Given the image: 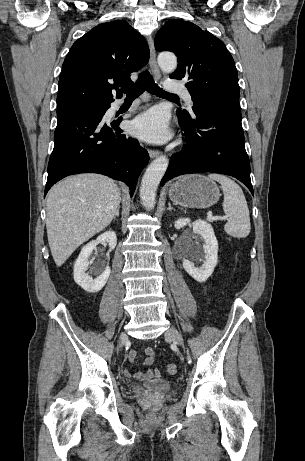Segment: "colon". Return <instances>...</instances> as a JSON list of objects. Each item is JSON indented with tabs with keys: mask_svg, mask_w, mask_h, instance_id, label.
I'll list each match as a JSON object with an SVG mask.
<instances>
[{
	"mask_svg": "<svg viewBox=\"0 0 305 461\" xmlns=\"http://www.w3.org/2000/svg\"><path fill=\"white\" fill-rule=\"evenodd\" d=\"M166 372H167V374L172 375V376L176 375L177 372H178L177 366L175 364H172V363L168 364L166 366ZM143 377H146V375L144 374Z\"/></svg>",
	"mask_w": 305,
	"mask_h": 461,
	"instance_id": "obj_1",
	"label": "colon"
}]
</instances>
